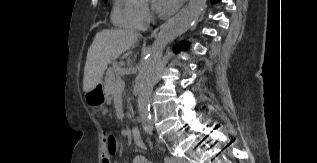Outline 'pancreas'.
I'll return each mask as SVG.
<instances>
[{"label":"pancreas","mask_w":317,"mask_h":163,"mask_svg":"<svg viewBox=\"0 0 317 163\" xmlns=\"http://www.w3.org/2000/svg\"><path fill=\"white\" fill-rule=\"evenodd\" d=\"M118 63L113 62L112 67H110L107 72H106V77H105V91L107 92L108 95L115 96L117 90L115 89V82L118 80V73H117V68H118Z\"/></svg>","instance_id":"pancreas-1"}]
</instances>
